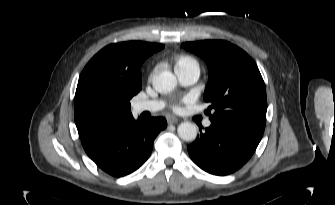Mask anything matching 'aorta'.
I'll return each instance as SVG.
<instances>
[{
  "label": "aorta",
  "instance_id": "obj_1",
  "mask_svg": "<svg viewBox=\"0 0 335 205\" xmlns=\"http://www.w3.org/2000/svg\"><path fill=\"white\" fill-rule=\"evenodd\" d=\"M153 88L159 93H168L177 85V79L170 71L155 75L152 80ZM179 137L184 141H193L197 137V127L191 122H183L177 128Z\"/></svg>",
  "mask_w": 335,
  "mask_h": 205
}]
</instances>
